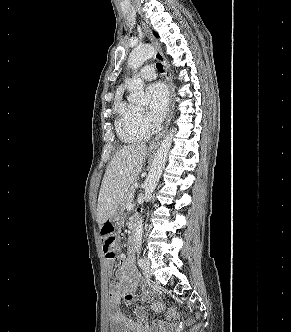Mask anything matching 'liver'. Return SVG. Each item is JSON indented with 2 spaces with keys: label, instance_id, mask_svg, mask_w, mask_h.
<instances>
[{
  "label": "liver",
  "instance_id": "1",
  "mask_svg": "<svg viewBox=\"0 0 291 332\" xmlns=\"http://www.w3.org/2000/svg\"><path fill=\"white\" fill-rule=\"evenodd\" d=\"M148 151L145 144L123 146L108 164L97 203V222L100 228L117 212L123 193L141 172Z\"/></svg>",
  "mask_w": 291,
  "mask_h": 332
}]
</instances>
